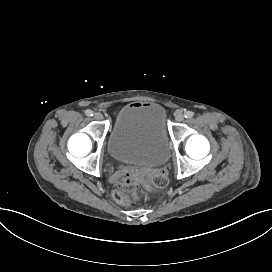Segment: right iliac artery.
I'll return each instance as SVG.
<instances>
[{"label": "right iliac artery", "instance_id": "right-iliac-artery-1", "mask_svg": "<svg viewBox=\"0 0 272 272\" xmlns=\"http://www.w3.org/2000/svg\"><path fill=\"white\" fill-rule=\"evenodd\" d=\"M85 114L89 117L93 116V112L91 110H86Z\"/></svg>", "mask_w": 272, "mask_h": 272}]
</instances>
